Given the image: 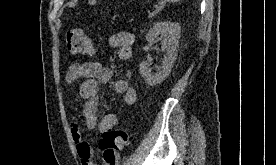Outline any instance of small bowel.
<instances>
[{"instance_id":"obj_1","label":"small bowel","mask_w":276,"mask_h":165,"mask_svg":"<svg viewBox=\"0 0 276 165\" xmlns=\"http://www.w3.org/2000/svg\"><path fill=\"white\" fill-rule=\"evenodd\" d=\"M109 43L117 49V56L120 60H128L132 56L134 35L129 32H119L110 36ZM113 72L110 68L99 62H75L71 64L66 72L65 80L69 86L81 81L79 95L82 100L81 110L88 129H98L100 132H107L113 129L118 123V116L115 113H107L99 119L100 100L99 92L101 84L107 83L112 78ZM114 91L123 96L124 103L132 105L136 102V91L125 79H118L113 84ZM69 125L73 141L76 145L81 165H98L94 160L93 150L89 143L82 137L78 118L71 116ZM119 155L108 157L103 152L101 165H118Z\"/></svg>"}]
</instances>
